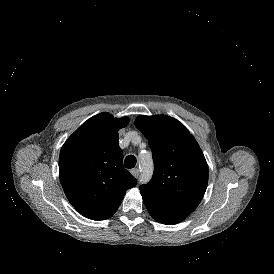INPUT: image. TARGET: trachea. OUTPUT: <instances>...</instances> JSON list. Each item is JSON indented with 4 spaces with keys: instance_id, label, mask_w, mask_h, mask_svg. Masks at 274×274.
Here are the masks:
<instances>
[{
    "instance_id": "obj_1",
    "label": "trachea",
    "mask_w": 274,
    "mask_h": 274,
    "mask_svg": "<svg viewBox=\"0 0 274 274\" xmlns=\"http://www.w3.org/2000/svg\"><path fill=\"white\" fill-rule=\"evenodd\" d=\"M136 163H137V160H136L135 156H132V155L127 156L124 161V165L128 169L135 167Z\"/></svg>"
}]
</instances>
